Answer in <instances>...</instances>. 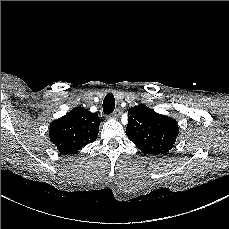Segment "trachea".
I'll list each match as a JSON object with an SVG mask.
<instances>
[{"label":"trachea","mask_w":229,"mask_h":229,"mask_svg":"<svg viewBox=\"0 0 229 229\" xmlns=\"http://www.w3.org/2000/svg\"><path fill=\"white\" fill-rule=\"evenodd\" d=\"M115 109V98L112 93H108L103 100V112L105 114L113 113Z\"/></svg>","instance_id":"obj_1"}]
</instances>
